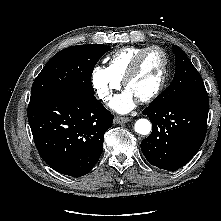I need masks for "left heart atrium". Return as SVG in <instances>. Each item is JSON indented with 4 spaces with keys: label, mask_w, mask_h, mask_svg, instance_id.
Here are the masks:
<instances>
[{
    "label": "left heart atrium",
    "mask_w": 221,
    "mask_h": 221,
    "mask_svg": "<svg viewBox=\"0 0 221 221\" xmlns=\"http://www.w3.org/2000/svg\"><path fill=\"white\" fill-rule=\"evenodd\" d=\"M135 102L136 98L129 90L126 89L123 93L114 97L110 106L119 113H127L134 108Z\"/></svg>",
    "instance_id": "39dd6f15"
}]
</instances>
